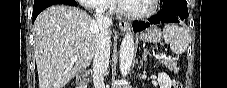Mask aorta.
<instances>
[{"label":"aorta","mask_w":227,"mask_h":88,"mask_svg":"<svg viewBox=\"0 0 227 88\" xmlns=\"http://www.w3.org/2000/svg\"><path fill=\"white\" fill-rule=\"evenodd\" d=\"M134 55V39L131 33L125 35L120 47V71L123 76H126L130 70Z\"/></svg>","instance_id":"aorta-1"}]
</instances>
